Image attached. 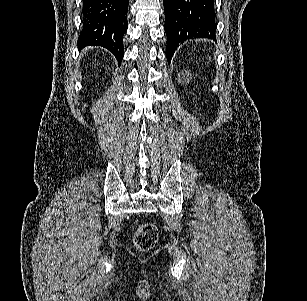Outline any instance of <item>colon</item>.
I'll use <instances>...</instances> for the list:
<instances>
[{
  "label": "colon",
  "mask_w": 307,
  "mask_h": 301,
  "mask_svg": "<svg viewBox=\"0 0 307 301\" xmlns=\"http://www.w3.org/2000/svg\"><path fill=\"white\" fill-rule=\"evenodd\" d=\"M158 240V230L152 223L141 224L134 235V245L139 251H149Z\"/></svg>",
  "instance_id": "obj_1"
}]
</instances>
